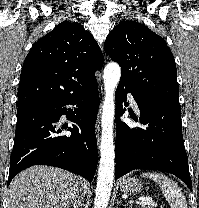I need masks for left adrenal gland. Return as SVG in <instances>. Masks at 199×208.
<instances>
[{"mask_svg": "<svg viewBox=\"0 0 199 208\" xmlns=\"http://www.w3.org/2000/svg\"><path fill=\"white\" fill-rule=\"evenodd\" d=\"M121 202H122V201L120 200V201L117 202V204H121Z\"/></svg>", "mask_w": 199, "mask_h": 208, "instance_id": "obj_1", "label": "left adrenal gland"}]
</instances>
